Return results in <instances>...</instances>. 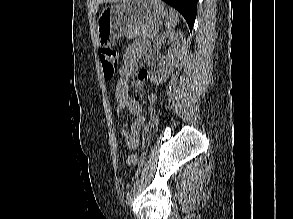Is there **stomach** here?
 <instances>
[{
	"label": "stomach",
	"mask_w": 293,
	"mask_h": 219,
	"mask_svg": "<svg viewBox=\"0 0 293 219\" xmlns=\"http://www.w3.org/2000/svg\"><path fill=\"white\" fill-rule=\"evenodd\" d=\"M167 17L162 0H123L104 8L97 19L98 43L105 47L123 37L133 25L158 22Z\"/></svg>",
	"instance_id": "obj_1"
}]
</instances>
